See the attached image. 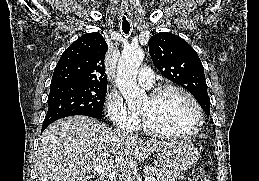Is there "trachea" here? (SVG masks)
<instances>
[{
    "instance_id": "3493384b",
    "label": "trachea",
    "mask_w": 259,
    "mask_h": 181,
    "mask_svg": "<svg viewBox=\"0 0 259 181\" xmlns=\"http://www.w3.org/2000/svg\"><path fill=\"white\" fill-rule=\"evenodd\" d=\"M122 30L125 34H128L130 31V23L125 19L122 21Z\"/></svg>"
}]
</instances>
